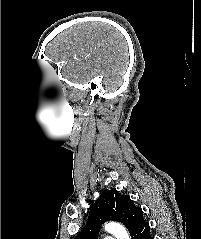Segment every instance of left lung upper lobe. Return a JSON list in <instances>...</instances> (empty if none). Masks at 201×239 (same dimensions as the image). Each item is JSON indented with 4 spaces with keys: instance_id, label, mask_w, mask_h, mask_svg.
<instances>
[{
    "instance_id": "1",
    "label": "left lung upper lobe",
    "mask_w": 201,
    "mask_h": 239,
    "mask_svg": "<svg viewBox=\"0 0 201 239\" xmlns=\"http://www.w3.org/2000/svg\"><path fill=\"white\" fill-rule=\"evenodd\" d=\"M116 220L123 223L130 234L144 223L141 208L134 205L127 195H121L115 188L105 189L90 207L87 224L74 239H97L100 225Z\"/></svg>"
}]
</instances>
